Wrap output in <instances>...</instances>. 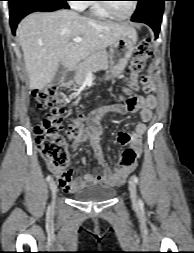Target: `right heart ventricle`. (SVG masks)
Masks as SVG:
<instances>
[{
  "mask_svg": "<svg viewBox=\"0 0 194 253\" xmlns=\"http://www.w3.org/2000/svg\"><path fill=\"white\" fill-rule=\"evenodd\" d=\"M90 15L99 18V19H106L109 16L101 9L98 3H91L90 4Z\"/></svg>",
  "mask_w": 194,
  "mask_h": 253,
  "instance_id": "right-heart-ventricle-1",
  "label": "right heart ventricle"
}]
</instances>
